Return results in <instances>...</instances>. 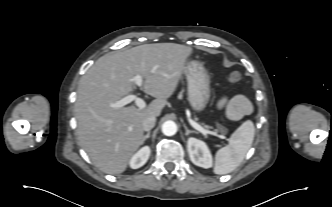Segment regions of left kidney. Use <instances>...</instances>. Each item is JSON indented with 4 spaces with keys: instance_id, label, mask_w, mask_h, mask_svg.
<instances>
[{
    "instance_id": "1",
    "label": "left kidney",
    "mask_w": 332,
    "mask_h": 207,
    "mask_svg": "<svg viewBox=\"0 0 332 207\" xmlns=\"http://www.w3.org/2000/svg\"><path fill=\"white\" fill-rule=\"evenodd\" d=\"M187 150L193 164L202 168L212 167V155L205 142L191 137L187 141Z\"/></svg>"
}]
</instances>
